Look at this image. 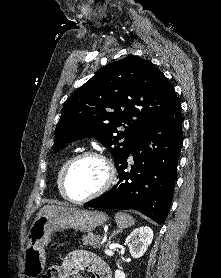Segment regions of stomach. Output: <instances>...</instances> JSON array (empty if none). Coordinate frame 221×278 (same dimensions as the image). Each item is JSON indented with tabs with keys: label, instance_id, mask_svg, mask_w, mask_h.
Here are the masks:
<instances>
[{
	"label": "stomach",
	"instance_id": "0dacf381",
	"mask_svg": "<svg viewBox=\"0 0 221 278\" xmlns=\"http://www.w3.org/2000/svg\"><path fill=\"white\" fill-rule=\"evenodd\" d=\"M107 220L108 216L103 212L84 209L38 214L27 235V248L23 257V262H28L25 264V275H43L44 248L54 233L64 232L67 229L90 232Z\"/></svg>",
	"mask_w": 221,
	"mask_h": 278
}]
</instances>
